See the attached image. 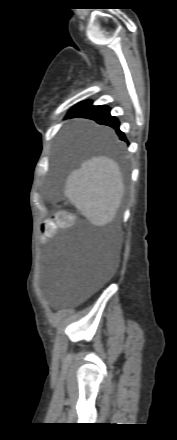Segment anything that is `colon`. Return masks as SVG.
Listing matches in <instances>:
<instances>
[{
  "label": "colon",
  "instance_id": "5ec220e1",
  "mask_svg": "<svg viewBox=\"0 0 177 440\" xmlns=\"http://www.w3.org/2000/svg\"><path fill=\"white\" fill-rule=\"evenodd\" d=\"M74 222L72 213L62 210L56 213L52 219L45 220L42 225V232L46 237H52L58 228L69 227Z\"/></svg>",
  "mask_w": 177,
  "mask_h": 440
}]
</instances>
